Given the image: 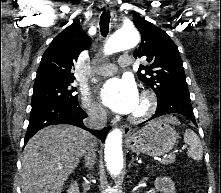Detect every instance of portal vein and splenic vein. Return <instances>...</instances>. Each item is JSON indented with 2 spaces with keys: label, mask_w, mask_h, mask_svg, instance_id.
I'll return each mask as SVG.
<instances>
[{
  "label": "portal vein and splenic vein",
  "mask_w": 221,
  "mask_h": 193,
  "mask_svg": "<svg viewBox=\"0 0 221 193\" xmlns=\"http://www.w3.org/2000/svg\"><path fill=\"white\" fill-rule=\"evenodd\" d=\"M170 157H173V156L172 155H165V156H163V158L161 159V162L166 161Z\"/></svg>",
  "instance_id": "obj_1"
}]
</instances>
